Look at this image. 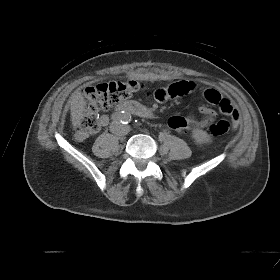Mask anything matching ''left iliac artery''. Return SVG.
I'll return each mask as SVG.
<instances>
[{
  "label": "left iliac artery",
  "instance_id": "1",
  "mask_svg": "<svg viewBox=\"0 0 280 280\" xmlns=\"http://www.w3.org/2000/svg\"><path fill=\"white\" fill-rule=\"evenodd\" d=\"M124 120L126 121V123H128V121L131 120V116H129L128 114H124Z\"/></svg>",
  "mask_w": 280,
  "mask_h": 280
}]
</instances>
